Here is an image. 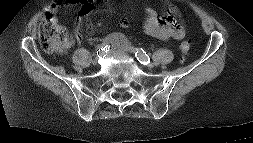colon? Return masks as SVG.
<instances>
[{
    "label": "colon",
    "instance_id": "obj_1",
    "mask_svg": "<svg viewBox=\"0 0 253 143\" xmlns=\"http://www.w3.org/2000/svg\"><path fill=\"white\" fill-rule=\"evenodd\" d=\"M39 43L42 49L46 52H63L67 46V32L66 29L55 22L50 20L45 21L39 31ZM191 41L185 40L180 45L182 54L181 59L184 60L189 52Z\"/></svg>",
    "mask_w": 253,
    "mask_h": 143
}]
</instances>
